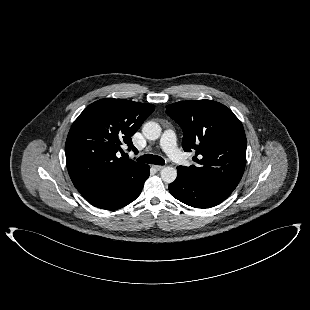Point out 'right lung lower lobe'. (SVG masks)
Here are the masks:
<instances>
[{"mask_svg": "<svg viewBox=\"0 0 310 310\" xmlns=\"http://www.w3.org/2000/svg\"><path fill=\"white\" fill-rule=\"evenodd\" d=\"M149 170L150 167L147 165L136 183L130 187L86 199L89 203L98 208L107 210L122 208L140 195L144 182L149 177Z\"/></svg>", "mask_w": 310, "mask_h": 310, "instance_id": "98d812e1", "label": "right lung lower lobe"}]
</instances>
